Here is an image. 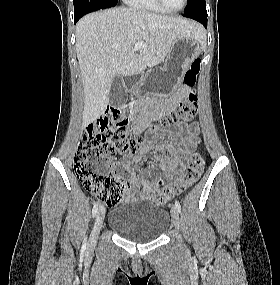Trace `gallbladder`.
Listing matches in <instances>:
<instances>
[{
  "mask_svg": "<svg viewBox=\"0 0 280 285\" xmlns=\"http://www.w3.org/2000/svg\"><path fill=\"white\" fill-rule=\"evenodd\" d=\"M127 101V91L119 76L113 78L110 87L109 103L112 106H121Z\"/></svg>",
  "mask_w": 280,
  "mask_h": 285,
  "instance_id": "1",
  "label": "gallbladder"
}]
</instances>
